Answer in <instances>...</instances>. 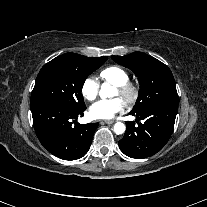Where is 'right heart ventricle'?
Segmentation results:
<instances>
[{"label": "right heart ventricle", "mask_w": 207, "mask_h": 207, "mask_svg": "<svg viewBox=\"0 0 207 207\" xmlns=\"http://www.w3.org/2000/svg\"><path fill=\"white\" fill-rule=\"evenodd\" d=\"M99 76L102 80L116 86L124 85L129 81L127 72L119 66L106 67L100 71Z\"/></svg>", "instance_id": "right-heart-ventricle-1"}]
</instances>
